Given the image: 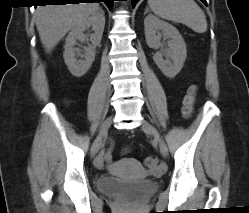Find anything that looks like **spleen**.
Segmentation results:
<instances>
[{
    "label": "spleen",
    "instance_id": "obj_1",
    "mask_svg": "<svg viewBox=\"0 0 249 213\" xmlns=\"http://www.w3.org/2000/svg\"><path fill=\"white\" fill-rule=\"evenodd\" d=\"M148 5L163 19L183 23L197 33L207 31L205 14L194 0H148Z\"/></svg>",
    "mask_w": 249,
    "mask_h": 213
}]
</instances>
